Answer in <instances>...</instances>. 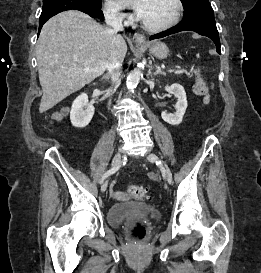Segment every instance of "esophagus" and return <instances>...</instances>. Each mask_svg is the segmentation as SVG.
I'll return each mask as SVG.
<instances>
[{
	"label": "esophagus",
	"mask_w": 261,
	"mask_h": 273,
	"mask_svg": "<svg viewBox=\"0 0 261 273\" xmlns=\"http://www.w3.org/2000/svg\"><path fill=\"white\" fill-rule=\"evenodd\" d=\"M134 40L137 44H143L145 42V36L142 34H135Z\"/></svg>",
	"instance_id": "esophagus-1"
}]
</instances>
